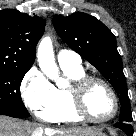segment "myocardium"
I'll return each instance as SVG.
<instances>
[{"mask_svg":"<svg viewBox=\"0 0 136 136\" xmlns=\"http://www.w3.org/2000/svg\"><path fill=\"white\" fill-rule=\"evenodd\" d=\"M100 84L104 86L109 94L111 95L113 101V112L110 116L106 118H95L93 117L86 105V97L89 89L95 85ZM69 93L72 101V106L75 113L82 119L91 123L102 124L113 120L119 111V100L114 88L104 79L94 76H83L75 81L69 88Z\"/></svg>","mask_w":136,"mask_h":136,"instance_id":"myocardium-1","label":"myocardium"}]
</instances>
